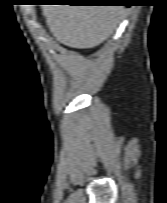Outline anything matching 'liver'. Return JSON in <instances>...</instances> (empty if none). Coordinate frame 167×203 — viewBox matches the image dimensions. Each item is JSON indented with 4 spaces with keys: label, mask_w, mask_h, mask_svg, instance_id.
<instances>
[{
    "label": "liver",
    "mask_w": 167,
    "mask_h": 203,
    "mask_svg": "<svg viewBox=\"0 0 167 203\" xmlns=\"http://www.w3.org/2000/svg\"><path fill=\"white\" fill-rule=\"evenodd\" d=\"M47 25L60 43L78 49L93 48L120 23L122 6L44 5Z\"/></svg>",
    "instance_id": "liver-1"
}]
</instances>
